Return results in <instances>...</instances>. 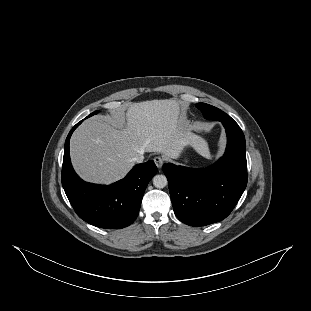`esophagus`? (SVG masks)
<instances>
[{
	"mask_svg": "<svg viewBox=\"0 0 311 311\" xmlns=\"http://www.w3.org/2000/svg\"><path fill=\"white\" fill-rule=\"evenodd\" d=\"M153 161L158 168H161L164 163V160L159 156L154 157Z\"/></svg>",
	"mask_w": 311,
	"mask_h": 311,
	"instance_id": "obj_1",
	"label": "esophagus"
}]
</instances>
